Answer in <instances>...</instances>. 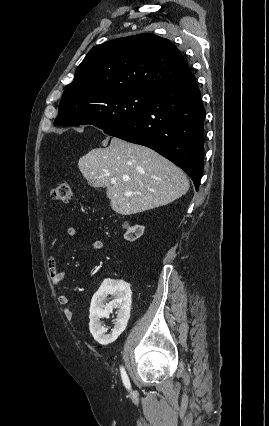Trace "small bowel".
I'll list each match as a JSON object with an SVG mask.
<instances>
[{
  "mask_svg": "<svg viewBox=\"0 0 269 426\" xmlns=\"http://www.w3.org/2000/svg\"><path fill=\"white\" fill-rule=\"evenodd\" d=\"M67 235L69 237H75L77 235V229L75 227H68L67 228ZM55 241L51 243V247L54 246ZM91 248L94 250H101L103 248V242L99 239H93L91 240ZM48 274L49 278L54 285L55 288H59L62 281L66 277V272L63 270H59L57 267V262L54 256H50L48 258ZM57 301L59 305L63 308L64 315L66 317H70L72 315L70 309H69V298L65 294H59L57 296Z\"/></svg>",
  "mask_w": 269,
  "mask_h": 426,
  "instance_id": "1",
  "label": "small bowel"
}]
</instances>
